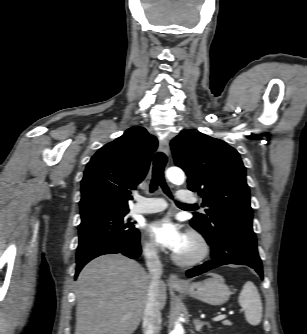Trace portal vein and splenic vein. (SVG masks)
<instances>
[{
	"label": "portal vein and splenic vein",
	"mask_w": 307,
	"mask_h": 334,
	"mask_svg": "<svg viewBox=\"0 0 307 334\" xmlns=\"http://www.w3.org/2000/svg\"><path fill=\"white\" fill-rule=\"evenodd\" d=\"M127 316H130V314H127ZM226 318V315H219L213 318V321H221Z\"/></svg>",
	"instance_id": "18ae733b"
}]
</instances>
